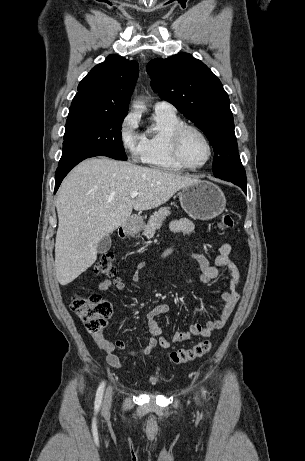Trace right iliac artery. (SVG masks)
<instances>
[{"label": "right iliac artery", "mask_w": 305, "mask_h": 461, "mask_svg": "<svg viewBox=\"0 0 305 461\" xmlns=\"http://www.w3.org/2000/svg\"><path fill=\"white\" fill-rule=\"evenodd\" d=\"M103 391H104V382L100 384L97 393H96V398H95V411H98L102 402V397H103Z\"/></svg>", "instance_id": "1"}]
</instances>
